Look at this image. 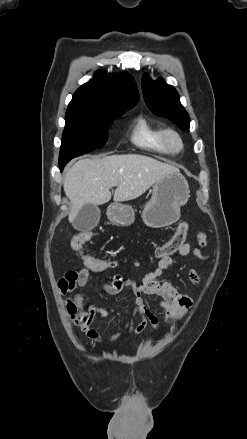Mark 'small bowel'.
Segmentation results:
<instances>
[{"instance_id":"obj_1","label":"small bowel","mask_w":247,"mask_h":439,"mask_svg":"<svg viewBox=\"0 0 247 439\" xmlns=\"http://www.w3.org/2000/svg\"><path fill=\"white\" fill-rule=\"evenodd\" d=\"M206 245V236L203 233L198 234V246L190 243H184L177 254L181 257L194 255L195 257L205 260L206 256L202 253V248ZM173 263V258L166 257L160 259L157 267L147 273L142 283L138 284L133 280L125 279L121 275H110L107 282L100 286L104 292L110 295H117L122 291L129 290L134 296V307L131 313L130 326L128 333L140 335L147 324H150L151 330L155 331L159 325L158 317L150 310L145 303V297L154 298L165 311V323H170L182 319L193 305V300L168 282L158 281L165 270ZM90 270L83 269L80 271H69L58 282V290L62 295H68L63 299L69 321L81 328L86 335L96 341H103L101 334L93 326V321L97 316L108 317L115 309L107 310L95 304L85 305L83 297L80 294L72 293L80 287H84L90 278ZM189 279L192 283L197 284L200 277L196 270L189 271ZM139 316L140 322L134 327L133 319ZM123 333L117 332L110 336L109 341L118 339Z\"/></svg>"}]
</instances>
